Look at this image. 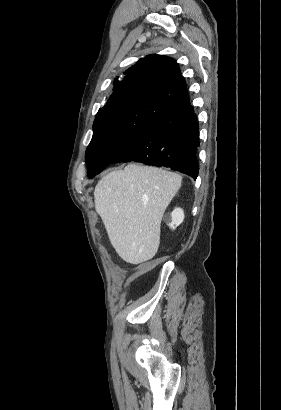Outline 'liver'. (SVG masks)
<instances>
[{
    "instance_id": "liver-1",
    "label": "liver",
    "mask_w": 281,
    "mask_h": 410,
    "mask_svg": "<svg viewBox=\"0 0 281 410\" xmlns=\"http://www.w3.org/2000/svg\"><path fill=\"white\" fill-rule=\"evenodd\" d=\"M181 182L177 173L134 163L98 182L95 209L124 261L136 265L155 256L163 214Z\"/></svg>"
}]
</instances>
